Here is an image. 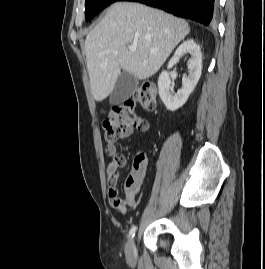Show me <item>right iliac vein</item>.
<instances>
[{"label": "right iliac vein", "mask_w": 265, "mask_h": 269, "mask_svg": "<svg viewBox=\"0 0 265 269\" xmlns=\"http://www.w3.org/2000/svg\"><path fill=\"white\" fill-rule=\"evenodd\" d=\"M125 255L128 261L132 262L135 260L136 257V247L135 242L131 239L126 246Z\"/></svg>", "instance_id": "obj_1"}]
</instances>
